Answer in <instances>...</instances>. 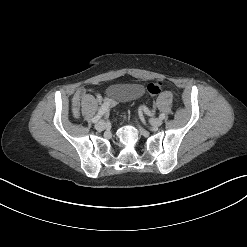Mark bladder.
I'll return each mask as SVG.
<instances>
[{
  "label": "bladder",
  "mask_w": 247,
  "mask_h": 247,
  "mask_svg": "<svg viewBox=\"0 0 247 247\" xmlns=\"http://www.w3.org/2000/svg\"><path fill=\"white\" fill-rule=\"evenodd\" d=\"M143 86L138 83L118 84L110 88V95L118 101H129L143 93Z\"/></svg>",
  "instance_id": "1"
}]
</instances>
